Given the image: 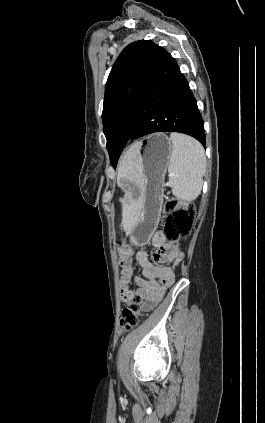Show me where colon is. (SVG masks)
Wrapping results in <instances>:
<instances>
[{
  "mask_svg": "<svg viewBox=\"0 0 265 423\" xmlns=\"http://www.w3.org/2000/svg\"><path fill=\"white\" fill-rule=\"evenodd\" d=\"M164 209L165 221L163 230L165 238L168 242L177 243L192 231L196 210L193 205L176 198L168 199L165 202ZM130 250L131 248L127 243L121 244L119 247L120 257L126 258ZM139 301L140 298L135 297L134 302L122 311L120 324L125 330H132L140 321L141 308Z\"/></svg>",
  "mask_w": 265,
  "mask_h": 423,
  "instance_id": "colon-1",
  "label": "colon"
}]
</instances>
